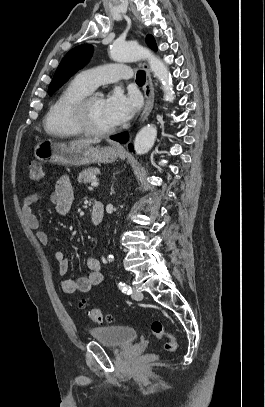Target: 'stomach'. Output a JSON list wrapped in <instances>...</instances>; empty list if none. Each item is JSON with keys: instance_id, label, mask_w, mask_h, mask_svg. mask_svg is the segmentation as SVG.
Here are the masks:
<instances>
[{"instance_id": "0dacf381", "label": "stomach", "mask_w": 265, "mask_h": 407, "mask_svg": "<svg viewBox=\"0 0 265 407\" xmlns=\"http://www.w3.org/2000/svg\"><path fill=\"white\" fill-rule=\"evenodd\" d=\"M119 153L111 147H93L72 143L39 141L34 148V156L42 163L81 166L92 163H112Z\"/></svg>"}]
</instances>
